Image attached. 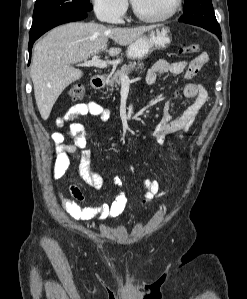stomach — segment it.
<instances>
[{"mask_svg":"<svg viewBox=\"0 0 247 299\" xmlns=\"http://www.w3.org/2000/svg\"><path fill=\"white\" fill-rule=\"evenodd\" d=\"M172 34L170 28L164 25H157L148 31L147 35L139 37L127 49L128 59H146L154 50L166 49L170 46Z\"/></svg>","mask_w":247,"mask_h":299,"instance_id":"stomach-1","label":"stomach"}]
</instances>
